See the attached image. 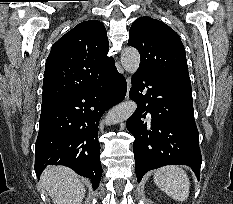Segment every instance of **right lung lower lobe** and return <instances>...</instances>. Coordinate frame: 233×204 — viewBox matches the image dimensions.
<instances>
[{
    "mask_svg": "<svg viewBox=\"0 0 233 204\" xmlns=\"http://www.w3.org/2000/svg\"><path fill=\"white\" fill-rule=\"evenodd\" d=\"M126 90L125 78L114 65L96 84L42 111L35 146L37 177L47 165H65L98 187L102 176L99 120L124 99Z\"/></svg>",
    "mask_w": 233,
    "mask_h": 204,
    "instance_id": "1",
    "label": "right lung lower lobe"
}]
</instances>
